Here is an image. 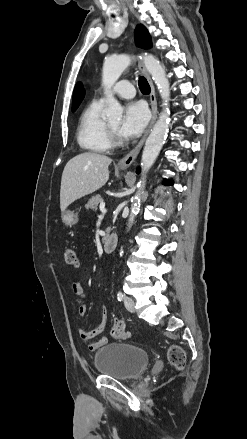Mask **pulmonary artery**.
<instances>
[{
	"label": "pulmonary artery",
	"instance_id": "e3ab8cb5",
	"mask_svg": "<svg viewBox=\"0 0 247 439\" xmlns=\"http://www.w3.org/2000/svg\"><path fill=\"white\" fill-rule=\"evenodd\" d=\"M112 92L122 98H132L135 94V90L133 85L127 81V80H122L120 82H118L114 87ZM103 101V99H102Z\"/></svg>",
	"mask_w": 247,
	"mask_h": 439
}]
</instances>
